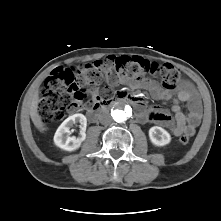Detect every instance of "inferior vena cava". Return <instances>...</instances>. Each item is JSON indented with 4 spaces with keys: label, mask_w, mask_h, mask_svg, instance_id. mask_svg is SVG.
Returning <instances> with one entry per match:
<instances>
[{
    "label": "inferior vena cava",
    "mask_w": 221,
    "mask_h": 221,
    "mask_svg": "<svg viewBox=\"0 0 221 221\" xmlns=\"http://www.w3.org/2000/svg\"><path fill=\"white\" fill-rule=\"evenodd\" d=\"M99 120L102 124H109L111 123V116L107 112H103L99 115Z\"/></svg>",
    "instance_id": "602c4592"
}]
</instances>
